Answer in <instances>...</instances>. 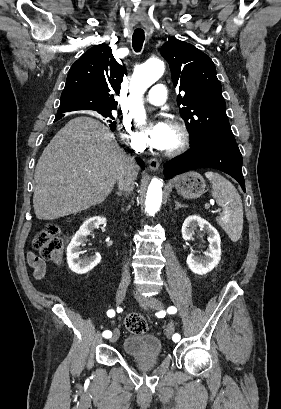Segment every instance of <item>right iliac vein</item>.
<instances>
[{
    "mask_svg": "<svg viewBox=\"0 0 281 409\" xmlns=\"http://www.w3.org/2000/svg\"><path fill=\"white\" fill-rule=\"evenodd\" d=\"M127 287H128V284L125 283V282H121L119 284V287H118L117 293H116V303H117V305H119V304H121L123 302V300L125 298V295H126ZM110 338H111L110 342H112V343L116 342L118 340V338H119V330L116 329L114 331V333H113V336L110 337Z\"/></svg>",
    "mask_w": 281,
    "mask_h": 409,
    "instance_id": "1",
    "label": "right iliac vein"
}]
</instances>
